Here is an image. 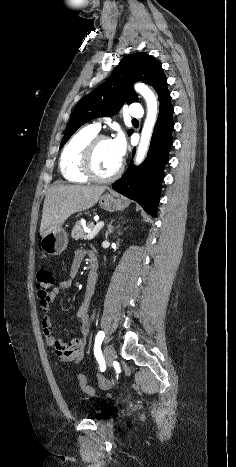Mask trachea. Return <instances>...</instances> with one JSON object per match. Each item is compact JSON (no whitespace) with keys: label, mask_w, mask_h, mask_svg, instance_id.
I'll list each match as a JSON object with an SVG mask.
<instances>
[{"label":"trachea","mask_w":236,"mask_h":467,"mask_svg":"<svg viewBox=\"0 0 236 467\" xmlns=\"http://www.w3.org/2000/svg\"><path fill=\"white\" fill-rule=\"evenodd\" d=\"M132 121H133V122H138V120H137V119H133Z\"/></svg>","instance_id":"3493384b"}]
</instances>
